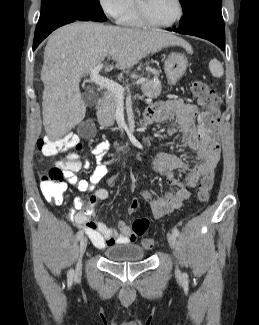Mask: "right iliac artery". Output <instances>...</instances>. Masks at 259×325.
I'll return each instance as SVG.
<instances>
[{
  "label": "right iliac artery",
  "instance_id": "82829eb1",
  "mask_svg": "<svg viewBox=\"0 0 259 325\" xmlns=\"http://www.w3.org/2000/svg\"><path fill=\"white\" fill-rule=\"evenodd\" d=\"M76 237H77L78 240H80L83 237V231L82 230L78 231ZM67 277H68L69 281L73 280L74 271L72 269L69 270Z\"/></svg>",
  "mask_w": 259,
  "mask_h": 325
}]
</instances>
